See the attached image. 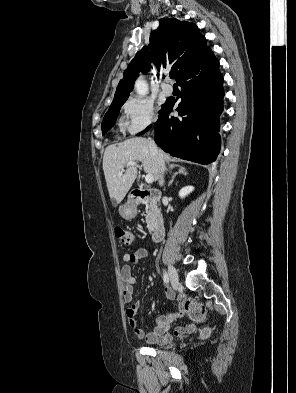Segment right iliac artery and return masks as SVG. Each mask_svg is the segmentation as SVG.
Wrapping results in <instances>:
<instances>
[{
    "instance_id": "obj_1",
    "label": "right iliac artery",
    "mask_w": 296,
    "mask_h": 393,
    "mask_svg": "<svg viewBox=\"0 0 296 393\" xmlns=\"http://www.w3.org/2000/svg\"><path fill=\"white\" fill-rule=\"evenodd\" d=\"M163 281H164L165 283H169V277H168V275H167L166 272L163 273Z\"/></svg>"
}]
</instances>
